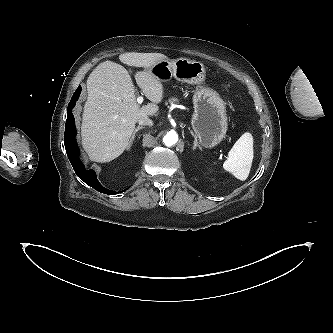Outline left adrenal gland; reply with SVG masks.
<instances>
[{
	"instance_id": "1",
	"label": "left adrenal gland",
	"mask_w": 333,
	"mask_h": 333,
	"mask_svg": "<svg viewBox=\"0 0 333 333\" xmlns=\"http://www.w3.org/2000/svg\"><path fill=\"white\" fill-rule=\"evenodd\" d=\"M190 133H191L192 136H194V145H193V149H196L197 147L200 148V146H199V144H198V141H197V137H196V135L193 133L192 130H190Z\"/></svg>"
}]
</instances>
